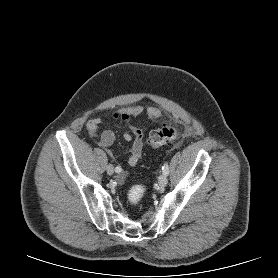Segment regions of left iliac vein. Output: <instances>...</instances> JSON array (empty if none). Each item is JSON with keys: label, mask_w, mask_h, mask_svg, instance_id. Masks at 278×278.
I'll list each match as a JSON object with an SVG mask.
<instances>
[{"label": "left iliac vein", "mask_w": 278, "mask_h": 278, "mask_svg": "<svg viewBox=\"0 0 278 278\" xmlns=\"http://www.w3.org/2000/svg\"><path fill=\"white\" fill-rule=\"evenodd\" d=\"M158 183L161 187H165L168 183L167 175L164 173L159 176Z\"/></svg>", "instance_id": "obj_1"}]
</instances>
